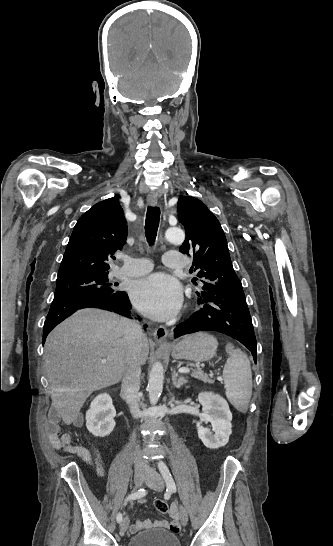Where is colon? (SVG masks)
<instances>
[{"mask_svg":"<svg viewBox=\"0 0 333 546\" xmlns=\"http://www.w3.org/2000/svg\"><path fill=\"white\" fill-rule=\"evenodd\" d=\"M154 506H155V509L160 513L165 514V513H167L169 511L168 504L162 499H157L154 502Z\"/></svg>","mask_w":333,"mask_h":546,"instance_id":"1","label":"colon"}]
</instances>
